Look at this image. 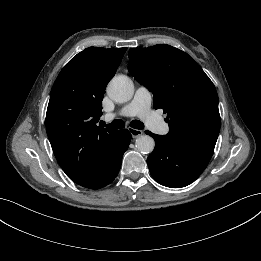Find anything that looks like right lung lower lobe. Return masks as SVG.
I'll use <instances>...</instances> for the list:
<instances>
[{"label": "right lung lower lobe", "instance_id": "98d812e1", "mask_svg": "<svg viewBox=\"0 0 261 261\" xmlns=\"http://www.w3.org/2000/svg\"><path fill=\"white\" fill-rule=\"evenodd\" d=\"M130 140V132L126 129L120 130L100 165L91 174L75 183L90 189H100L111 183L118 175L123 154L128 149Z\"/></svg>", "mask_w": 261, "mask_h": 261}]
</instances>
